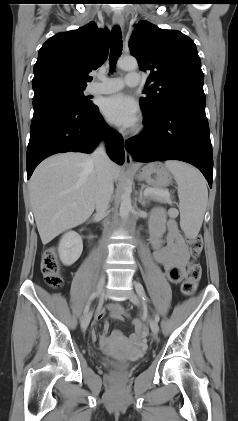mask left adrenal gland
<instances>
[{
    "label": "left adrenal gland",
    "instance_id": "left-adrenal-gland-1",
    "mask_svg": "<svg viewBox=\"0 0 238 421\" xmlns=\"http://www.w3.org/2000/svg\"><path fill=\"white\" fill-rule=\"evenodd\" d=\"M139 203L145 207L149 204L148 200H146L143 196V188L140 189L139 191V199H138Z\"/></svg>",
    "mask_w": 238,
    "mask_h": 421
}]
</instances>
